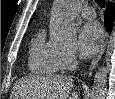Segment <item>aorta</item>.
Masks as SVG:
<instances>
[{"label":"aorta","instance_id":"aorta-1","mask_svg":"<svg viewBox=\"0 0 115 99\" xmlns=\"http://www.w3.org/2000/svg\"><path fill=\"white\" fill-rule=\"evenodd\" d=\"M82 1L55 0L50 21L51 41L60 47L75 45L77 33L74 19ZM107 70L102 67L96 72L92 90V99H104L106 93Z\"/></svg>","mask_w":115,"mask_h":99}]
</instances>
